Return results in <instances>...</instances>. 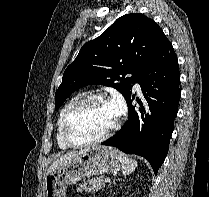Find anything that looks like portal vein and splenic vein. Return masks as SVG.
I'll use <instances>...</instances> for the list:
<instances>
[{
	"instance_id": "18ae733b",
	"label": "portal vein and splenic vein",
	"mask_w": 209,
	"mask_h": 197,
	"mask_svg": "<svg viewBox=\"0 0 209 197\" xmlns=\"http://www.w3.org/2000/svg\"><path fill=\"white\" fill-rule=\"evenodd\" d=\"M104 182H105V183H109V182H110V179H109V178H106V179L104 180Z\"/></svg>"
}]
</instances>
